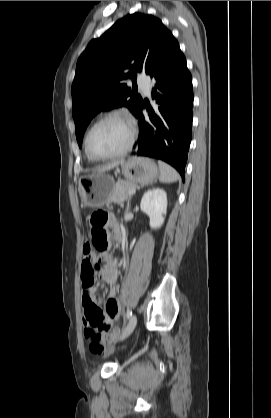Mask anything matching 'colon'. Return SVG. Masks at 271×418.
<instances>
[{"label": "colon", "instance_id": "5ec220e1", "mask_svg": "<svg viewBox=\"0 0 271 418\" xmlns=\"http://www.w3.org/2000/svg\"><path fill=\"white\" fill-rule=\"evenodd\" d=\"M107 223V215L103 212H96L91 216V245L84 247L91 253L92 247L98 251H103L108 246V237L105 229ZM100 260V259H98ZM89 327L85 331V335L89 340L90 347L94 349H100L102 347L101 336L109 326L105 322L102 313L97 308H91L86 313Z\"/></svg>", "mask_w": 271, "mask_h": 418}]
</instances>
